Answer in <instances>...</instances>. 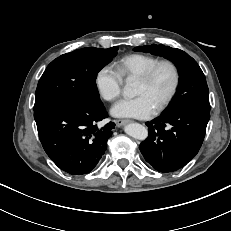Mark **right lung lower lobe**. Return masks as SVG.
Wrapping results in <instances>:
<instances>
[{"instance_id":"98d812e1","label":"right lung lower lobe","mask_w":231,"mask_h":231,"mask_svg":"<svg viewBox=\"0 0 231 231\" xmlns=\"http://www.w3.org/2000/svg\"><path fill=\"white\" fill-rule=\"evenodd\" d=\"M107 117L102 103H61L34 111L45 152L60 169L73 175L89 173L104 154L115 127L113 122L99 126Z\"/></svg>"}]
</instances>
